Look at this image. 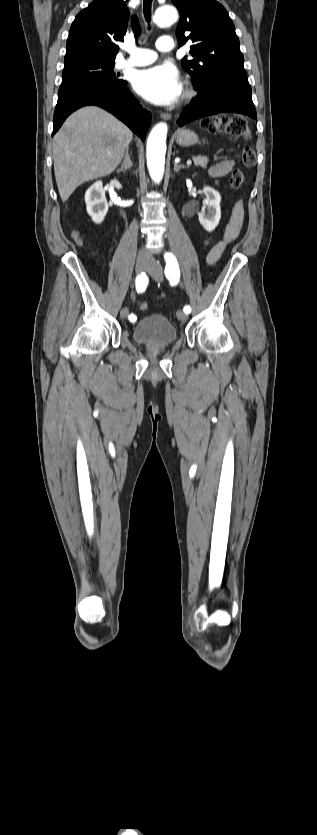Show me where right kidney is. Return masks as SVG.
Returning <instances> with one entry per match:
<instances>
[{"label": "right kidney", "instance_id": "right-kidney-1", "mask_svg": "<svg viewBox=\"0 0 317 835\" xmlns=\"http://www.w3.org/2000/svg\"><path fill=\"white\" fill-rule=\"evenodd\" d=\"M85 202L89 216L96 224H100L108 212L102 181H96L88 188L85 193Z\"/></svg>", "mask_w": 317, "mask_h": 835}]
</instances>
